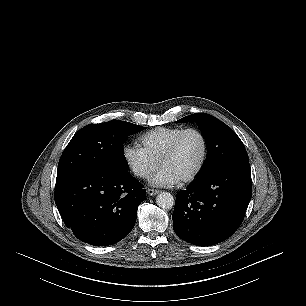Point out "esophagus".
I'll use <instances>...</instances> for the list:
<instances>
[{
  "label": "esophagus",
  "instance_id": "1",
  "mask_svg": "<svg viewBox=\"0 0 306 306\" xmlns=\"http://www.w3.org/2000/svg\"><path fill=\"white\" fill-rule=\"evenodd\" d=\"M159 192H160V190H156V189H148L147 190V193L150 196H154V195L158 194Z\"/></svg>",
  "mask_w": 306,
  "mask_h": 306
}]
</instances>
